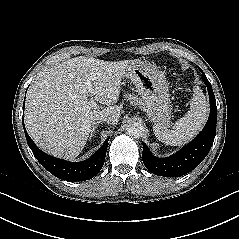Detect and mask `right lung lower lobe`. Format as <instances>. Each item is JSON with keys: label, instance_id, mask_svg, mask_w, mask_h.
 Returning a JSON list of instances; mask_svg holds the SVG:
<instances>
[{"label": "right lung lower lobe", "instance_id": "1", "mask_svg": "<svg viewBox=\"0 0 239 239\" xmlns=\"http://www.w3.org/2000/svg\"><path fill=\"white\" fill-rule=\"evenodd\" d=\"M23 128L27 143L36 159L45 169H47L51 174L59 179L67 181L89 180L96 176L104 165L109 138L105 140L104 144L92 157L85 161L74 163L45 154L35 145V143L29 137L24 123Z\"/></svg>", "mask_w": 239, "mask_h": 239}]
</instances>
